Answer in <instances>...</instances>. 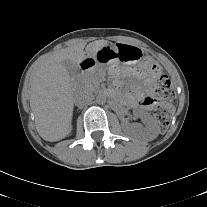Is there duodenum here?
Returning a JSON list of instances; mask_svg holds the SVG:
<instances>
[{"instance_id":"410a0bca","label":"duodenum","mask_w":207,"mask_h":207,"mask_svg":"<svg viewBox=\"0 0 207 207\" xmlns=\"http://www.w3.org/2000/svg\"><path fill=\"white\" fill-rule=\"evenodd\" d=\"M94 66V62L92 60H84L80 63L78 71H77V75L81 74L82 72L92 68Z\"/></svg>"}]
</instances>
